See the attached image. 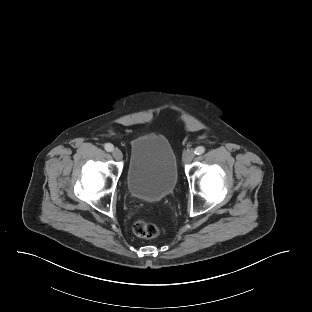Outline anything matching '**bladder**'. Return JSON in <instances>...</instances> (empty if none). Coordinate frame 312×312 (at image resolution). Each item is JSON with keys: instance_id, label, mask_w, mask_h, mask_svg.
<instances>
[{"instance_id": "1", "label": "bladder", "mask_w": 312, "mask_h": 312, "mask_svg": "<svg viewBox=\"0 0 312 312\" xmlns=\"http://www.w3.org/2000/svg\"><path fill=\"white\" fill-rule=\"evenodd\" d=\"M126 175L129 194L143 201L169 196L178 181L175 152L166 137L148 134L133 139Z\"/></svg>"}]
</instances>
